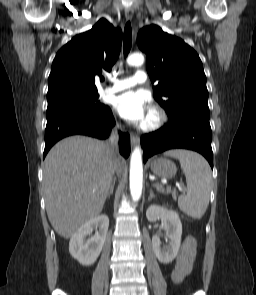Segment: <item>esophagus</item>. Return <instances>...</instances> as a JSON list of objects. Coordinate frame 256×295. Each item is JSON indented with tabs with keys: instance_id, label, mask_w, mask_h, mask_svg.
I'll list each match as a JSON object with an SVG mask.
<instances>
[{
	"instance_id": "esophagus-1",
	"label": "esophagus",
	"mask_w": 256,
	"mask_h": 295,
	"mask_svg": "<svg viewBox=\"0 0 256 295\" xmlns=\"http://www.w3.org/2000/svg\"><path fill=\"white\" fill-rule=\"evenodd\" d=\"M125 16L127 20H130L133 17V10L131 8H128L125 10ZM130 140L131 144L135 145L138 141V136L134 133H130Z\"/></svg>"
}]
</instances>
